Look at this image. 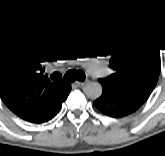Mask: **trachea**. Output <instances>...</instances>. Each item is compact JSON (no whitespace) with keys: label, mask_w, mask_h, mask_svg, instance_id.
<instances>
[{"label":"trachea","mask_w":165,"mask_h":156,"mask_svg":"<svg viewBox=\"0 0 165 156\" xmlns=\"http://www.w3.org/2000/svg\"><path fill=\"white\" fill-rule=\"evenodd\" d=\"M75 80H79V81H84L85 80V73L78 70H70L68 71L63 78L64 82H73Z\"/></svg>","instance_id":"3493384b"}]
</instances>
